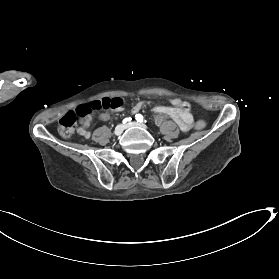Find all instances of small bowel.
Segmentation results:
<instances>
[{
	"instance_id": "small-bowel-1",
	"label": "small bowel",
	"mask_w": 279,
	"mask_h": 279,
	"mask_svg": "<svg viewBox=\"0 0 279 279\" xmlns=\"http://www.w3.org/2000/svg\"><path fill=\"white\" fill-rule=\"evenodd\" d=\"M171 103H172L171 107L157 106L154 108V112L158 115L157 120L159 121L162 116H169L177 123L181 131L183 132L189 131L193 122L191 114L181 106L179 99L174 98L171 100ZM144 105L145 102L143 101L138 102L133 107L132 113L135 115L144 107ZM122 110L123 107H119L115 109V111L117 112H120ZM99 118L101 120L106 121L110 118V114L108 112H103L99 115ZM91 121H92L91 116H87L83 120L81 127L78 129V132L81 136L85 138L90 137V132L88 129L90 127Z\"/></svg>"
}]
</instances>
